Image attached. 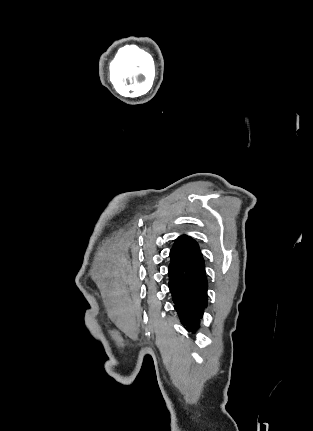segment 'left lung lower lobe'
<instances>
[{
    "label": "left lung lower lobe",
    "mask_w": 313,
    "mask_h": 431,
    "mask_svg": "<svg viewBox=\"0 0 313 431\" xmlns=\"http://www.w3.org/2000/svg\"><path fill=\"white\" fill-rule=\"evenodd\" d=\"M169 289L186 330L195 333L207 307L208 282L204 259L194 239L182 235L170 251Z\"/></svg>",
    "instance_id": "0a47b994"
}]
</instances>
